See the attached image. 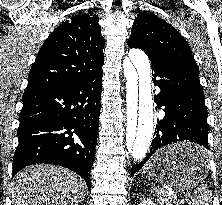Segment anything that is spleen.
<instances>
[{"mask_svg": "<svg viewBox=\"0 0 222 205\" xmlns=\"http://www.w3.org/2000/svg\"><path fill=\"white\" fill-rule=\"evenodd\" d=\"M150 166V161H148L143 168V172L149 173ZM154 191L157 194V200L160 205H178L175 204L173 199L168 194H166V191L164 189L154 188ZM191 198L192 205H209L212 199V194L207 185L202 184L194 191V193L191 195Z\"/></svg>", "mask_w": 222, "mask_h": 205, "instance_id": "3e777b00", "label": "spleen"}]
</instances>
